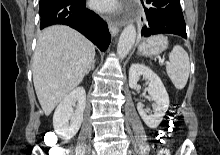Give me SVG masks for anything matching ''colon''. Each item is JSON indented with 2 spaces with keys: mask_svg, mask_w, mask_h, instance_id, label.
<instances>
[{
  "mask_svg": "<svg viewBox=\"0 0 220 155\" xmlns=\"http://www.w3.org/2000/svg\"><path fill=\"white\" fill-rule=\"evenodd\" d=\"M179 120L177 113L175 111H171L169 115L167 116L166 120V132L167 133H158L156 137V143L155 146L157 149H164L161 152V155H168L167 151L165 150V145H170L171 143V137L172 132L175 131L178 127Z\"/></svg>",
  "mask_w": 220,
  "mask_h": 155,
  "instance_id": "obj_1",
  "label": "colon"
}]
</instances>
